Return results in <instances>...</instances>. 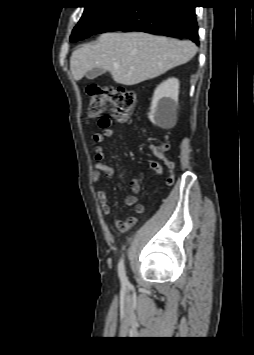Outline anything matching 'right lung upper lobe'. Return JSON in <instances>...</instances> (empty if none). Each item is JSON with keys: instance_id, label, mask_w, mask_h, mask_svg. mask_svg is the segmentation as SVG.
<instances>
[{"instance_id": "right-lung-upper-lobe-1", "label": "right lung upper lobe", "mask_w": 254, "mask_h": 355, "mask_svg": "<svg viewBox=\"0 0 254 355\" xmlns=\"http://www.w3.org/2000/svg\"><path fill=\"white\" fill-rule=\"evenodd\" d=\"M89 2H96V1H102V0H88ZM114 1H117V2H120V3H125V2H128V1H131V0H114Z\"/></svg>"}]
</instances>
